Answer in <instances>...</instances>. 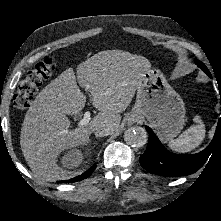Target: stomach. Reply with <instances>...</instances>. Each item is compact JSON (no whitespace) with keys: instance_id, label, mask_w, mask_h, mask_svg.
Here are the masks:
<instances>
[{"instance_id":"obj_1","label":"stomach","mask_w":221,"mask_h":221,"mask_svg":"<svg viewBox=\"0 0 221 221\" xmlns=\"http://www.w3.org/2000/svg\"><path fill=\"white\" fill-rule=\"evenodd\" d=\"M136 91L132 113L144 116L162 141L176 137L185 124V104L164 75L156 69L145 71Z\"/></svg>"}]
</instances>
